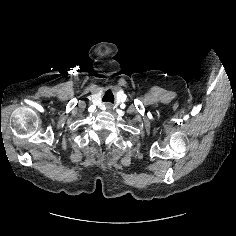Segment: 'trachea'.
Segmentation results:
<instances>
[{"instance_id": "3493384b", "label": "trachea", "mask_w": 236, "mask_h": 236, "mask_svg": "<svg viewBox=\"0 0 236 236\" xmlns=\"http://www.w3.org/2000/svg\"><path fill=\"white\" fill-rule=\"evenodd\" d=\"M103 101H104V102H111V103H114V96H113V93H112L110 90H108V91L105 93V95H104V97H103Z\"/></svg>"}]
</instances>
